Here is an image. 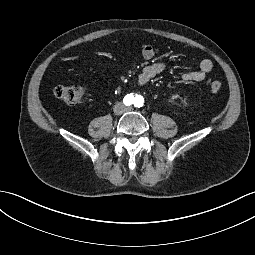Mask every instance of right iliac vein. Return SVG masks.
<instances>
[{"mask_svg":"<svg viewBox=\"0 0 255 255\" xmlns=\"http://www.w3.org/2000/svg\"><path fill=\"white\" fill-rule=\"evenodd\" d=\"M116 112H117V113H121V112H122V107H121V106H118V107L116 108Z\"/></svg>","mask_w":255,"mask_h":255,"instance_id":"1","label":"right iliac vein"}]
</instances>
